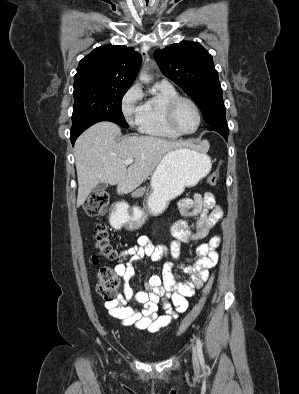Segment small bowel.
<instances>
[{
  "label": "small bowel",
  "mask_w": 299,
  "mask_h": 394,
  "mask_svg": "<svg viewBox=\"0 0 299 394\" xmlns=\"http://www.w3.org/2000/svg\"><path fill=\"white\" fill-rule=\"evenodd\" d=\"M178 208L185 219L176 221L171 227L175 240L170 245V254L175 260L180 257L182 243L206 238L211 228L223 216V211L216 204L215 196L211 192L195 194L192 198H182L178 201ZM118 210L116 207V212ZM220 242L221 236H214L193 249L196 261L188 265H179L180 270L188 276L183 281L177 280L172 272V263H167L161 275H152L146 280L144 291L134 293L130 286V281L135 275L134 264L146 257L158 261L166 252L163 245H154L147 236H139L135 245L123 249L120 253L122 258H128L129 261L115 267L117 275L124 282L123 294L105 302L104 307L123 326H134L138 330L150 333L159 332L187 309V298L192 297L206 282L209 269L215 267L218 262L217 248ZM129 300L142 305L143 308L138 310L128 306ZM158 303L165 310L164 315L157 314Z\"/></svg>",
  "instance_id": "1"
}]
</instances>
